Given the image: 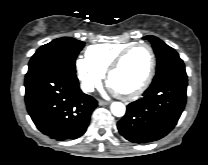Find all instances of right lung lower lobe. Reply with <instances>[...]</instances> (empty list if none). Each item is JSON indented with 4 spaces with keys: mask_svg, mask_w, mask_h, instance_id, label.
<instances>
[{
    "mask_svg": "<svg viewBox=\"0 0 208 165\" xmlns=\"http://www.w3.org/2000/svg\"><path fill=\"white\" fill-rule=\"evenodd\" d=\"M24 85L27 111L43 134L59 141L84 134L97 101L80 90L75 73L48 65L26 75Z\"/></svg>",
    "mask_w": 208,
    "mask_h": 165,
    "instance_id": "1",
    "label": "right lung lower lobe"
}]
</instances>
